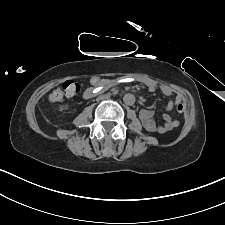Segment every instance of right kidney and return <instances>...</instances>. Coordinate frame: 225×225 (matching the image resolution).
Wrapping results in <instances>:
<instances>
[{
  "label": "right kidney",
  "instance_id": "right-kidney-1",
  "mask_svg": "<svg viewBox=\"0 0 225 225\" xmlns=\"http://www.w3.org/2000/svg\"><path fill=\"white\" fill-rule=\"evenodd\" d=\"M69 107L68 106H64L63 108H62V110H67Z\"/></svg>",
  "mask_w": 225,
  "mask_h": 225
}]
</instances>
